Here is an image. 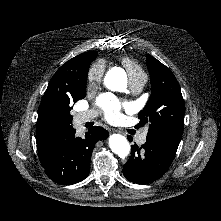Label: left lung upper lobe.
<instances>
[{"instance_id": "left-lung-upper-lobe-1", "label": "left lung upper lobe", "mask_w": 221, "mask_h": 221, "mask_svg": "<svg viewBox=\"0 0 221 221\" xmlns=\"http://www.w3.org/2000/svg\"><path fill=\"white\" fill-rule=\"evenodd\" d=\"M150 74L151 96L138 114V126L148 125L147 137H182L185 104L180 86L171 70L153 56L146 55Z\"/></svg>"}]
</instances>
